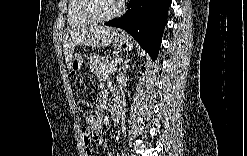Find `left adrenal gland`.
Listing matches in <instances>:
<instances>
[{
  "instance_id": "a2214340",
  "label": "left adrenal gland",
  "mask_w": 247,
  "mask_h": 156,
  "mask_svg": "<svg viewBox=\"0 0 247 156\" xmlns=\"http://www.w3.org/2000/svg\"><path fill=\"white\" fill-rule=\"evenodd\" d=\"M128 61H129V60L125 61V63H124L123 66H122V69H123L124 72H126V69L128 68V64H127Z\"/></svg>"
}]
</instances>
